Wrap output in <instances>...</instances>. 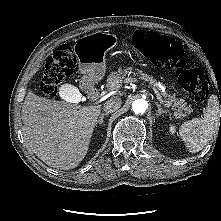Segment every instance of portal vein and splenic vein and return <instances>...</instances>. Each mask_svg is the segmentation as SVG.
I'll use <instances>...</instances> for the list:
<instances>
[{
  "label": "portal vein and splenic vein",
  "instance_id": "18ae733b",
  "mask_svg": "<svg viewBox=\"0 0 221 221\" xmlns=\"http://www.w3.org/2000/svg\"><path fill=\"white\" fill-rule=\"evenodd\" d=\"M132 82H138V80L135 79V78H128V79H126V81H125V83H132ZM150 86H151V85H150ZM151 88H152L153 91L156 93L157 99L160 101V103H165V101L162 99V97L158 94L157 89H156L155 87H153V86H151ZM111 89H115V88H111ZM70 102H72V101H70ZM75 102H76V101H75ZM166 106H168V105L166 104Z\"/></svg>",
  "mask_w": 221,
  "mask_h": 221
}]
</instances>
